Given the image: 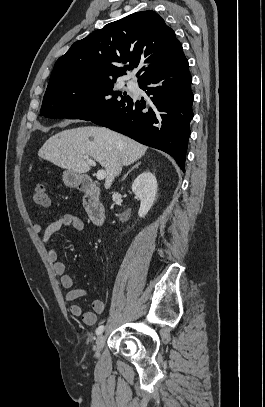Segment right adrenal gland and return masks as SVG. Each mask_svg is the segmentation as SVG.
I'll return each mask as SVG.
<instances>
[{
	"mask_svg": "<svg viewBox=\"0 0 265 407\" xmlns=\"http://www.w3.org/2000/svg\"><path fill=\"white\" fill-rule=\"evenodd\" d=\"M140 164H141V162H139V163H137L136 165H134V166L124 175V177L122 178V181L126 179V177L128 176V174H129L132 170H134L135 168H138Z\"/></svg>",
	"mask_w": 265,
	"mask_h": 407,
	"instance_id": "2a0ac1e0",
	"label": "right adrenal gland"
}]
</instances>
